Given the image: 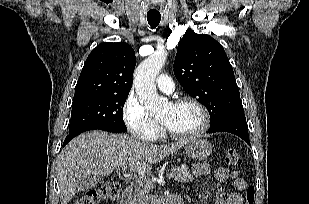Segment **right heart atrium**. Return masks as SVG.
I'll return each mask as SVG.
<instances>
[{
  "instance_id": "obj_1",
  "label": "right heart atrium",
  "mask_w": 309,
  "mask_h": 204,
  "mask_svg": "<svg viewBox=\"0 0 309 204\" xmlns=\"http://www.w3.org/2000/svg\"><path fill=\"white\" fill-rule=\"evenodd\" d=\"M123 118L129 131L145 140H154L160 133L158 120L151 117L137 97L130 94L123 106Z\"/></svg>"
}]
</instances>
